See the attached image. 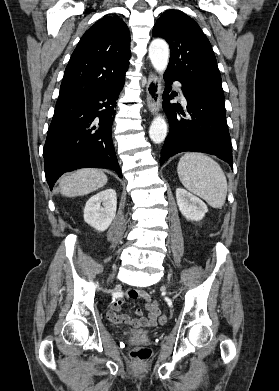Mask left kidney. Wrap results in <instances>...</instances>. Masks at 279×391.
<instances>
[{"instance_id": "left-kidney-1", "label": "left kidney", "mask_w": 279, "mask_h": 391, "mask_svg": "<svg viewBox=\"0 0 279 391\" xmlns=\"http://www.w3.org/2000/svg\"><path fill=\"white\" fill-rule=\"evenodd\" d=\"M176 200L182 215L191 221H200L208 211L206 204L183 188L176 189Z\"/></svg>"}]
</instances>
